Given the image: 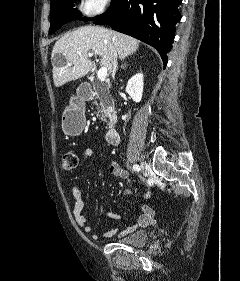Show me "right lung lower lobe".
I'll list each match as a JSON object with an SVG mask.
<instances>
[{
	"label": "right lung lower lobe",
	"mask_w": 240,
	"mask_h": 281,
	"mask_svg": "<svg viewBox=\"0 0 240 281\" xmlns=\"http://www.w3.org/2000/svg\"><path fill=\"white\" fill-rule=\"evenodd\" d=\"M182 0H117L94 24L135 37L157 49L164 65L172 48L175 25L181 20Z\"/></svg>",
	"instance_id": "98d812e1"
}]
</instances>
